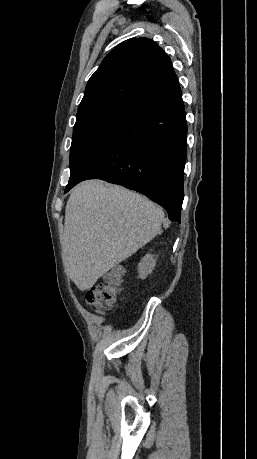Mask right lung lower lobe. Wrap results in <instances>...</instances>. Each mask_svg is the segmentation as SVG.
I'll return each instance as SVG.
<instances>
[{
  "mask_svg": "<svg viewBox=\"0 0 257 459\" xmlns=\"http://www.w3.org/2000/svg\"><path fill=\"white\" fill-rule=\"evenodd\" d=\"M187 123L179 84L138 109L74 176L65 193L86 179L136 190L180 223Z\"/></svg>",
  "mask_w": 257,
  "mask_h": 459,
  "instance_id": "1",
  "label": "right lung lower lobe"
}]
</instances>
